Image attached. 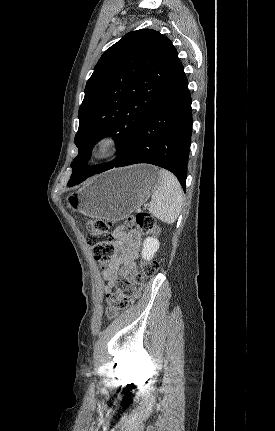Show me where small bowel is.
<instances>
[{
	"instance_id": "small-bowel-1",
	"label": "small bowel",
	"mask_w": 275,
	"mask_h": 431,
	"mask_svg": "<svg viewBox=\"0 0 275 431\" xmlns=\"http://www.w3.org/2000/svg\"><path fill=\"white\" fill-rule=\"evenodd\" d=\"M112 244L115 254L111 263L103 270L102 277L107 282L105 291L109 292L118 277H127L135 269V259L141 247V235L137 230H114Z\"/></svg>"
}]
</instances>
